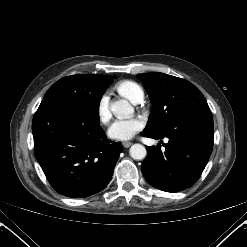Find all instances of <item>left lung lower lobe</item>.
I'll list each match as a JSON object with an SVG mask.
<instances>
[{
    "instance_id": "obj_1",
    "label": "left lung lower lobe",
    "mask_w": 247,
    "mask_h": 247,
    "mask_svg": "<svg viewBox=\"0 0 247 247\" xmlns=\"http://www.w3.org/2000/svg\"><path fill=\"white\" fill-rule=\"evenodd\" d=\"M142 135L169 139L163 144L165 150H161V144L146 146L147 157L141 167L143 176L160 190L178 192L198 180L209 160L214 136L212 114L194 115L162 133L143 131Z\"/></svg>"
}]
</instances>
